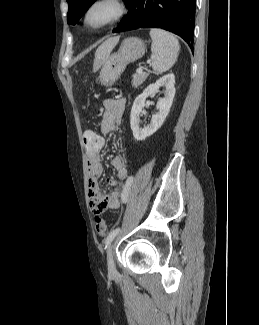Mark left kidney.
Returning <instances> with one entry per match:
<instances>
[{"label":"left kidney","mask_w":259,"mask_h":325,"mask_svg":"<svg viewBox=\"0 0 259 325\" xmlns=\"http://www.w3.org/2000/svg\"><path fill=\"white\" fill-rule=\"evenodd\" d=\"M175 77L173 74H168L161 77L155 83L150 84L142 94L134 100L130 114V125L133 136L137 141L145 140L147 137L154 134L164 123L169 114L173 99L175 96ZM165 86V95L157 102L156 108L158 112L152 116L150 123L144 128L139 127L140 116L142 109L145 106L146 99L156 93L160 87Z\"/></svg>","instance_id":"5707ae66"}]
</instances>
